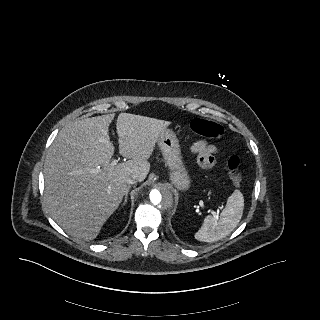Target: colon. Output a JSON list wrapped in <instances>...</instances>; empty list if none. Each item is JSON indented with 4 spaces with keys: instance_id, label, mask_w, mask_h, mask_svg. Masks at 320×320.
<instances>
[{
    "instance_id": "obj_1",
    "label": "colon",
    "mask_w": 320,
    "mask_h": 320,
    "mask_svg": "<svg viewBox=\"0 0 320 320\" xmlns=\"http://www.w3.org/2000/svg\"><path fill=\"white\" fill-rule=\"evenodd\" d=\"M191 128L199 135L209 138H219L223 135V127L216 121L206 118H196L191 122ZM229 176L232 182L236 185L242 182V168L243 161L237 156L233 155L228 160Z\"/></svg>"
}]
</instances>
